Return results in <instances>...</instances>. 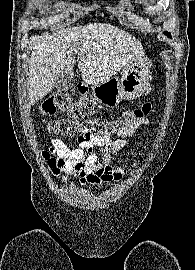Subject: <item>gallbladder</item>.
Wrapping results in <instances>:
<instances>
[{
  "label": "gallbladder",
  "instance_id": "gallbladder-1",
  "mask_svg": "<svg viewBox=\"0 0 195 270\" xmlns=\"http://www.w3.org/2000/svg\"><path fill=\"white\" fill-rule=\"evenodd\" d=\"M75 82V76L73 71L69 73H60L57 75L54 87L60 91H66L73 87Z\"/></svg>",
  "mask_w": 195,
  "mask_h": 270
}]
</instances>
